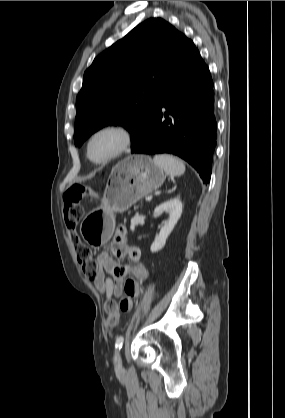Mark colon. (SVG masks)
<instances>
[{
    "mask_svg": "<svg viewBox=\"0 0 285 418\" xmlns=\"http://www.w3.org/2000/svg\"><path fill=\"white\" fill-rule=\"evenodd\" d=\"M83 197V192L78 186H73L64 194V220L68 230V237L73 245L76 259L80 264L84 274L89 278H94L97 275V264L92 258L90 248L85 245L77 231L78 224L82 217V209L80 202ZM124 232L123 228L117 230ZM105 313L107 316L108 326H115L119 321V305L114 299L106 301Z\"/></svg>",
    "mask_w": 285,
    "mask_h": 418,
    "instance_id": "obj_1",
    "label": "colon"
}]
</instances>
